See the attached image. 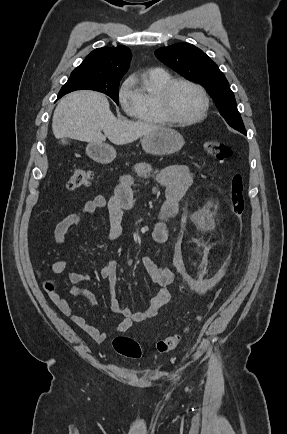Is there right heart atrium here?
Segmentation results:
<instances>
[{"instance_id": "obj_1", "label": "right heart atrium", "mask_w": 287, "mask_h": 434, "mask_svg": "<svg viewBox=\"0 0 287 434\" xmlns=\"http://www.w3.org/2000/svg\"><path fill=\"white\" fill-rule=\"evenodd\" d=\"M118 100L126 113L131 114L136 109L139 97L133 76H129L120 86L118 90Z\"/></svg>"}]
</instances>
